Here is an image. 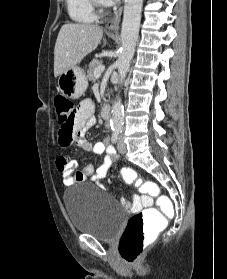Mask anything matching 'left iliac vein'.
<instances>
[{
    "label": "left iliac vein",
    "mask_w": 227,
    "mask_h": 279,
    "mask_svg": "<svg viewBox=\"0 0 227 279\" xmlns=\"http://www.w3.org/2000/svg\"><path fill=\"white\" fill-rule=\"evenodd\" d=\"M118 151L120 154L126 153V145L124 143L123 137L121 136L118 140Z\"/></svg>",
    "instance_id": "1"
}]
</instances>
